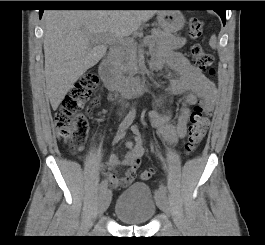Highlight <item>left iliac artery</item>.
Returning a JSON list of instances; mask_svg holds the SVG:
<instances>
[{
    "label": "left iliac artery",
    "instance_id": "obj_1",
    "mask_svg": "<svg viewBox=\"0 0 265 245\" xmlns=\"http://www.w3.org/2000/svg\"><path fill=\"white\" fill-rule=\"evenodd\" d=\"M160 192H162V193L167 192V187L164 184H161L159 189L155 191V195L158 196L160 194Z\"/></svg>",
    "mask_w": 265,
    "mask_h": 245
}]
</instances>
